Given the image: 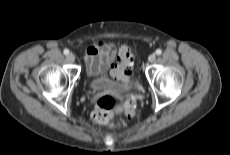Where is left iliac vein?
<instances>
[{"mask_svg": "<svg viewBox=\"0 0 230 155\" xmlns=\"http://www.w3.org/2000/svg\"><path fill=\"white\" fill-rule=\"evenodd\" d=\"M149 62H155L156 60V55L155 54H150L148 57Z\"/></svg>", "mask_w": 230, "mask_h": 155, "instance_id": "left-iliac-vein-1", "label": "left iliac vein"}]
</instances>
